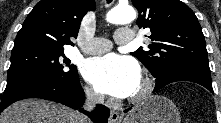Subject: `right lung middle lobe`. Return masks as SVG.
Returning a JSON list of instances; mask_svg holds the SVG:
<instances>
[{"label": "right lung middle lobe", "instance_id": "dd1d6c3e", "mask_svg": "<svg viewBox=\"0 0 221 123\" xmlns=\"http://www.w3.org/2000/svg\"><path fill=\"white\" fill-rule=\"evenodd\" d=\"M78 76L63 50L31 48L11 52L7 82L39 77L47 82L68 81Z\"/></svg>", "mask_w": 221, "mask_h": 123}]
</instances>
